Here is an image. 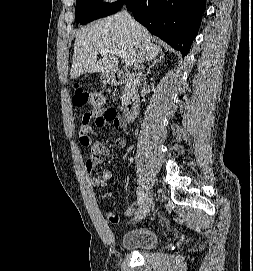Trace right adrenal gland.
I'll return each mask as SVG.
<instances>
[{
    "label": "right adrenal gland",
    "mask_w": 253,
    "mask_h": 271,
    "mask_svg": "<svg viewBox=\"0 0 253 271\" xmlns=\"http://www.w3.org/2000/svg\"><path fill=\"white\" fill-rule=\"evenodd\" d=\"M163 59H164V55H161V56H157L156 59H154L153 61H149L148 67H147V73H150L151 68H153L157 63L162 62Z\"/></svg>",
    "instance_id": "1"
}]
</instances>
